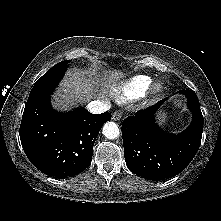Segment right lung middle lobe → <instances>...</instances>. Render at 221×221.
Returning a JSON list of instances; mask_svg holds the SVG:
<instances>
[{
	"label": "right lung middle lobe",
	"mask_w": 221,
	"mask_h": 221,
	"mask_svg": "<svg viewBox=\"0 0 221 221\" xmlns=\"http://www.w3.org/2000/svg\"><path fill=\"white\" fill-rule=\"evenodd\" d=\"M71 61V60H70ZM70 61H61L48 70L37 82L34 84L29 96L38 94L40 92L53 89L56 87L60 79L64 76Z\"/></svg>",
	"instance_id": "1"
}]
</instances>
